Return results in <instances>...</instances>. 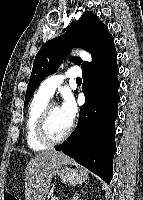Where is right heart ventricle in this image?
Here are the masks:
<instances>
[{
  "label": "right heart ventricle",
  "instance_id": "right-heart-ventricle-1",
  "mask_svg": "<svg viewBox=\"0 0 143 200\" xmlns=\"http://www.w3.org/2000/svg\"><path fill=\"white\" fill-rule=\"evenodd\" d=\"M48 101L49 97L42 94L38 90L32 98L28 108L27 117L25 121V138L28 147L34 151H41L48 147L47 145L39 142L35 135L36 123L43 109L48 104Z\"/></svg>",
  "mask_w": 143,
  "mask_h": 200
}]
</instances>
